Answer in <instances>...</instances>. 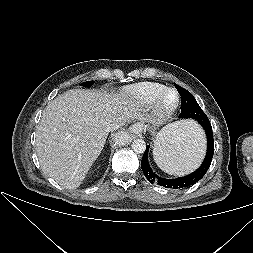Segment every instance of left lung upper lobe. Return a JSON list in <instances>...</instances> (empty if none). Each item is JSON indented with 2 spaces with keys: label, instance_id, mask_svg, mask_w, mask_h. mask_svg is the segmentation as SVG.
Returning a JSON list of instances; mask_svg holds the SVG:
<instances>
[{
  "label": "left lung upper lobe",
  "instance_id": "1",
  "mask_svg": "<svg viewBox=\"0 0 253 253\" xmlns=\"http://www.w3.org/2000/svg\"><path fill=\"white\" fill-rule=\"evenodd\" d=\"M175 87L181 96V113L179 117L195 119L196 115L203 112V110L189 91L176 84Z\"/></svg>",
  "mask_w": 253,
  "mask_h": 253
}]
</instances>
